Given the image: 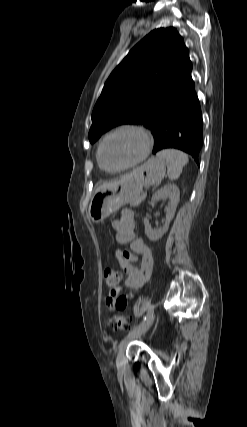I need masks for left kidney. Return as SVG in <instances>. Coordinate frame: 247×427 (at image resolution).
<instances>
[{
  "label": "left kidney",
  "mask_w": 247,
  "mask_h": 427,
  "mask_svg": "<svg viewBox=\"0 0 247 427\" xmlns=\"http://www.w3.org/2000/svg\"><path fill=\"white\" fill-rule=\"evenodd\" d=\"M163 198H169L170 200L166 208L165 224L159 229H152L149 219L147 217L144 219L145 234L151 241H158L168 231L170 222L174 218L176 208L179 203V188L172 183L166 184L152 196L151 202L154 203Z\"/></svg>",
  "instance_id": "obj_1"
}]
</instances>
